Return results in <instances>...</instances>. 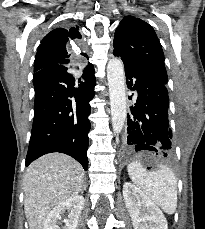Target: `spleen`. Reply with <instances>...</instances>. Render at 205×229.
Wrapping results in <instances>:
<instances>
[{"label":"spleen","instance_id":"obj_1","mask_svg":"<svg viewBox=\"0 0 205 229\" xmlns=\"http://www.w3.org/2000/svg\"><path fill=\"white\" fill-rule=\"evenodd\" d=\"M131 180L166 213L173 214L177 208V179L167 167L154 172L147 171L139 162L127 166Z\"/></svg>","mask_w":205,"mask_h":229}]
</instances>
